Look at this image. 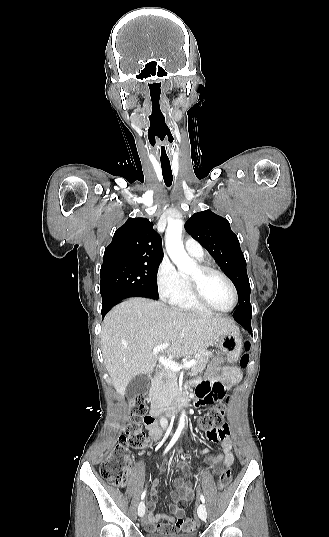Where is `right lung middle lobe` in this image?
Wrapping results in <instances>:
<instances>
[{"mask_svg":"<svg viewBox=\"0 0 329 537\" xmlns=\"http://www.w3.org/2000/svg\"><path fill=\"white\" fill-rule=\"evenodd\" d=\"M161 260L148 263H115L100 270V293L130 292L158 299L157 271Z\"/></svg>","mask_w":329,"mask_h":537,"instance_id":"obj_1","label":"right lung middle lobe"}]
</instances>
